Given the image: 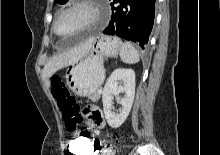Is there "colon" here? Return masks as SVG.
<instances>
[{"label": "colon", "mask_w": 220, "mask_h": 155, "mask_svg": "<svg viewBox=\"0 0 220 155\" xmlns=\"http://www.w3.org/2000/svg\"><path fill=\"white\" fill-rule=\"evenodd\" d=\"M51 91L58 107L62 111L67 130L70 132L80 130L77 131V135H73V139H69L68 146H65V151H68V155H91L93 142L90 139V131H85L89 130L90 126L81 123L82 116L79 105L70 95L65 82L60 76L55 75L51 78ZM101 148L102 141L95 140V151H99ZM103 149H114V144H103Z\"/></svg>", "instance_id": "5ec220e1"}]
</instances>
